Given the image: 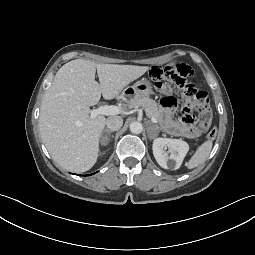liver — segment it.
<instances>
[{
	"mask_svg": "<svg viewBox=\"0 0 255 255\" xmlns=\"http://www.w3.org/2000/svg\"><path fill=\"white\" fill-rule=\"evenodd\" d=\"M147 70V66L97 64L85 59L64 64L45 92L40 108L41 138L52 159L69 171L91 169L98 158L106 118H91L89 107L96 105L101 95L106 100L117 97Z\"/></svg>",
	"mask_w": 255,
	"mask_h": 255,
	"instance_id": "6515ba94",
	"label": "liver"
}]
</instances>
